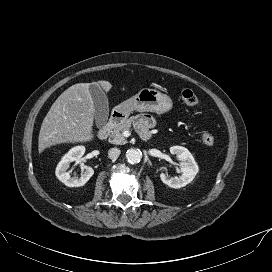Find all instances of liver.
<instances>
[{"instance_id":"liver-1","label":"liver","mask_w":272,"mask_h":272,"mask_svg":"<svg viewBox=\"0 0 272 272\" xmlns=\"http://www.w3.org/2000/svg\"><path fill=\"white\" fill-rule=\"evenodd\" d=\"M99 85L106 92L112 88L107 81ZM89 86L90 83L74 84L53 103L41 125L39 153L56 144L88 142L94 138L95 106Z\"/></svg>"}]
</instances>
